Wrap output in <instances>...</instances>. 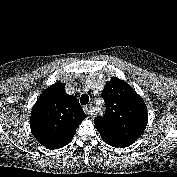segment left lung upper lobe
I'll list each match as a JSON object with an SVG mask.
<instances>
[{
    "label": "left lung upper lobe",
    "mask_w": 177,
    "mask_h": 177,
    "mask_svg": "<svg viewBox=\"0 0 177 177\" xmlns=\"http://www.w3.org/2000/svg\"><path fill=\"white\" fill-rule=\"evenodd\" d=\"M105 115L94 120L102 140L113 147H127L144 132L148 114L143 99L123 80L113 77L102 91Z\"/></svg>",
    "instance_id": "left-lung-upper-lobe-1"
}]
</instances>
